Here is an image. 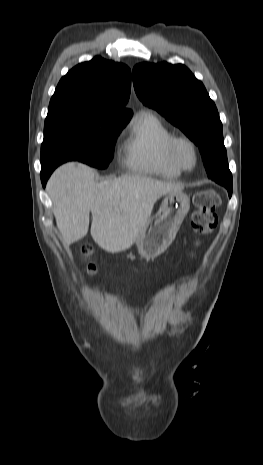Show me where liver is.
Masks as SVG:
<instances>
[{
	"label": "liver",
	"mask_w": 263,
	"mask_h": 465,
	"mask_svg": "<svg viewBox=\"0 0 263 465\" xmlns=\"http://www.w3.org/2000/svg\"><path fill=\"white\" fill-rule=\"evenodd\" d=\"M96 172L87 165L67 163L54 171L47 184L53 213L63 243L69 245L87 235L100 248L118 253L132 246L150 218L154 204L184 186L142 175H124L96 183Z\"/></svg>",
	"instance_id": "1"
}]
</instances>
